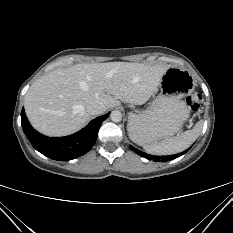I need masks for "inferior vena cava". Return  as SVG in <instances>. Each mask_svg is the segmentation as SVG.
<instances>
[{
  "label": "inferior vena cava",
  "instance_id": "inferior-vena-cava-1",
  "mask_svg": "<svg viewBox=\"0 0 233 233\" xmlns=\"http://www.w3.org/2000/svg\"><path fill=\"white\" fill-rule=\"evenodd\" d=\"M87 111L91 115H100L106 111V107L102 102L99 101H91L86 105Z\"/></svg>",
  "mask_w": 233,
  "mask_h": 233
}]
</instances>
